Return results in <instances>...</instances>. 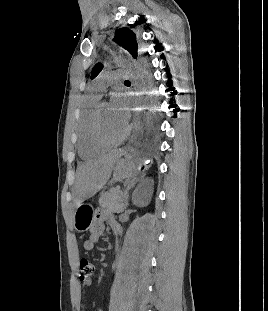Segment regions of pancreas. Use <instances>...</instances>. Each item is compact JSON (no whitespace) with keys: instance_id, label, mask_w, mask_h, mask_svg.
Wrapping results in <instances>:
<instances>
[{"instance_id":"1","label":"pancreas","mask_w":268,"mask_h":311,"mask_svg":"<svg viewBox=\"0 0 268 311\" xmlns=\"http://www.w3.org/2000/svg\"><path fill=\"white\" fill-rule=\"evenodd\" d=\"M127 198L119 189L104 193L99 199V205L114 213H122L126 208Z\"/></svg>"}]
</instances>
